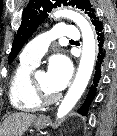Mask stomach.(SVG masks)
I'll return each mask as SVG.
<instances>
[{
  "mask_svg": "<svg viewBox=\"0 0 117 136\" xmlns=\"http://www.w3.org/2000/svg\"><path fill=\"white\" fill-rule=\"evenodd\" d=\"M47 124V118L44 116L38 117L37 119H35L34 121V126L37 129H41L44 128Z\"/></svg>",
  "mask_w": 117,
  "mask_h": 136,
  "instance_id": "stomach-1",
  "label": "stomach"
}]
</instances>
